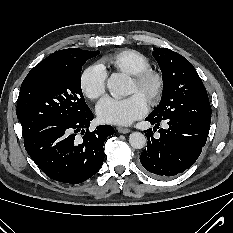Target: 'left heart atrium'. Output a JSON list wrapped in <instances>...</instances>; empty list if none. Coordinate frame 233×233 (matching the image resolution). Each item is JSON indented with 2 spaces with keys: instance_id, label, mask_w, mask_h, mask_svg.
Wrapping results in <instances>:
<instances>
[{
  "instance_id": "obj_1",
  "label": "left heart atrium",
  "mask_w": 233,
  "mask_h": 233,
  "mask_svg": "<svg viewBox=\"0 0 233 233\" xmlns=\"http://www.w3.org/2000/svg\"><path fill=\"white\" fill-rule=\"evenodd\" d=\"M147 112V102L138 93L126 98L107 96L96 107L98 118L104 123L128 125Z\"/></svg>"
}]
</instances>
